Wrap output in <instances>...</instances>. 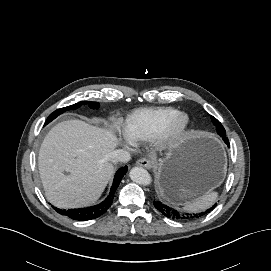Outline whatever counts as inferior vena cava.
<instances>
[{"label":"inferior vena cava","mask_w":271,"mask_h":271,"mask_svg":"<svg viewBox=\"0 0 271 271\" xmlns=\"http://www.w3.org/2000/svg\"><path fill=\"white\" fill-rule=\"evenodd\" d=\"M130 159H131L130 153L124 149L114 150L110 153V160L113 163L118 162L127 163L128 161H130Z\"/></svg>","instance_id":"inferior-vena-cava-1"}]
</instances>
